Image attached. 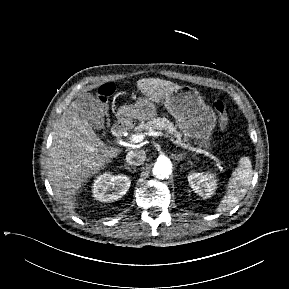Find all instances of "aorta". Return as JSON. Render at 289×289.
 Returning <instances> with one entry per match:
<instances>
[{
    "label": "aorta",
    "mask_w": 289,
    "mask_h": 289,
    "mask_svg": "<svg viewBox=\"0 0 289 289\" xmlns=\"http://www.w3.org/2000/svg\"><path fill=\"white\" fill-rule=\"evenodd\" d=\"M152 172L158 179L168 178L172 172L171 161L167 157H159L154 164Z\"/></svg>",
    "instance_id": "aorta-1"
}]
</instances>
